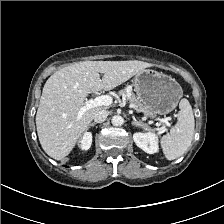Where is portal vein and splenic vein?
<instances>
[{
  "instance_id": "18ae733b",
  "label": "portal vein and splenic vein",
  "mask_w": 224,
  "mask_h": 224,
  "mask_svg": "<svg viewBox=\"0 0 224 224\" xmlns=\"http://www.w3.org/2000/svg\"><path fill=\"white\" fill-rule=\"evenodd\" d=\"M112 97L109 95L98 96L94 99H89L85 101V105L80 109L77 115V120H80L82 115L89 109L100 107V106H109L112 104ZM131 108H135V105L130 104ZM160 122L164 125L163 131L166 130V125L170 126V123L167 119H161Z\"/></svg>"
}]
</instances>
